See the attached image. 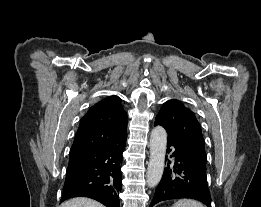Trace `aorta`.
Masks as SVG:
<instances>
[{
  "instance_id": "1",
  "label": "aorta",
  "mask_w": 261,
  "mask_h": 207,
  "mask_svg": "<svg viewBox=\"0 0 261 207\" xmlns=\"http://www.w3.org/2000/svg\"><path fill=\"white\" fill-rule=\"evenodd\" d=\"M167 133L161 126L155 127L150 135V159L146 180L150 188L155 187L161 180L166 154Z\"/></svg>"
}]
</instances>
